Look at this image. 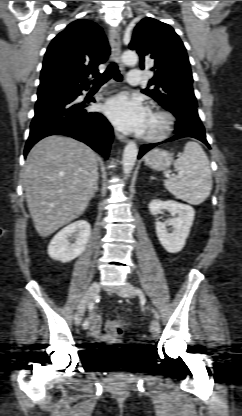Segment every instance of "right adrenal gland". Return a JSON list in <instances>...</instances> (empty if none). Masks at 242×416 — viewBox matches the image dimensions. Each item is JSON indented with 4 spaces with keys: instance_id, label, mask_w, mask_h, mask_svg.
<instances>
[{
    "instance_id": "obj_1",
    "label": "right adrenal gland",
    "mask_w": 242,
    "mask_h": 416,
    "mask_svg": "<svg viewBox=\"0 0 242 416\" xmlns=\"http://www.w3.org/2000/svg\"><path fill=\"white\" fill-rule=\"evenodd\" d=\"M97 192H98V183H96V185H95V190H94V193H93L92 197H94Z\"/></svg>"
}]
</instances>
